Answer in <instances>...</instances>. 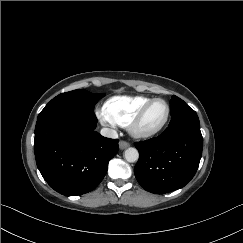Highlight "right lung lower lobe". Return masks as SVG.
Instances as JSON below:
<instances>
[{"label":"right lung lower lobe","mask_w":243,"mask_h":243,"mask_svg":"<svg viewBox=\"0 0 243 243\" xmlns=\"http://www.w3.org/2000/svg\"><path fill=\"white\" fill-rule=\"evenodd\" d=\"M93 112L54 108L40 113L35 127L34 152L45 181L57 192L76 196L95 189L109 161L118 152V140L97 133Z\"/></svg>","instance_id":"1"}]
</instances>
